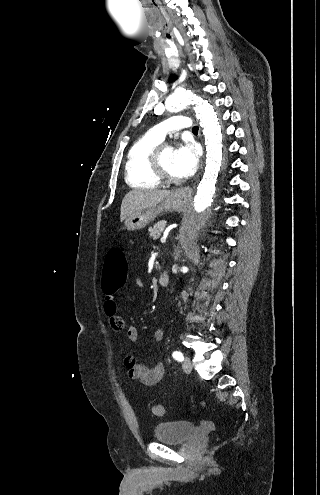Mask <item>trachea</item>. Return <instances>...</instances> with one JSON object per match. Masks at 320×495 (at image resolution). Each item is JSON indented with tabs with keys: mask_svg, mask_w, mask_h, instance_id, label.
Instances as JSON below:
<instances>
[{
	"mask_svg": "<svg viewBox=\"0 0 320 495\" xmlns=\"http://www.w3.org/2000/svg\"><path fill=\"white\" fill-rule=\"evenodd\" d=\"M198 130H199L198 126H194V127L192 128V132H193V133H197V132H198Z\"/></svg>",
	"mask_w": 320,
	"mask_h": 495,
	"instance_id": "1",
	"label": "trachea"
}]
</instances>
